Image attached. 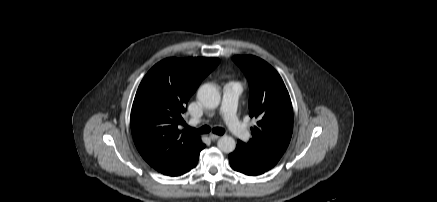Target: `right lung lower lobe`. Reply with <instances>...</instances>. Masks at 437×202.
Segmentation results:
<instances>
[{"instance_id": "98d812e1", "label": "right lung lower lobe", "mask_w": 437, "mask_h": 202, "mask_svg": "<svg viewBox=\"0 0 437 202\" xmlns=\"http://www.w3.org/2000/svg\"><path fill=\"white\" fill-rule=\"evenodd\" d=\"M205 148V145L201 142L199 148L192 153L184 162H182L179 166H177L175 169L170 171L169 173H166L165 175L169 176H179L182 175L188 171H190L192 168L196 167L199 154L202 149Z\"/></svg>"}]
</instances>
